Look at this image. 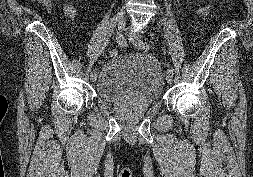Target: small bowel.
<instances>
[{"instance_id": "c3829d8e", "label": "small bowel", "mask_w": 253, "mask_h": 177, "mask_svg": "<svg viewBox=\"0 0 253 177\" xmlns=\"http://www.w3.org/2000/svg\"><path fill=\"white\" fill-rule=\"evenodd\" d=\"M30 1L40 3L46 9L47 12H50L51 10V0H30ZM43 1H46V2H43ZM210 7H211L210 5L203 6L199 8L196 13L198 15L206 14L210 10ZM63 11L65 15V22H71L72 20H74L76 16V10L73 6L64 2Z\"/></svg>"}]
</instances>
